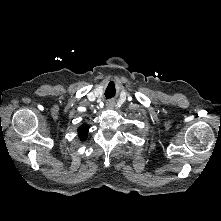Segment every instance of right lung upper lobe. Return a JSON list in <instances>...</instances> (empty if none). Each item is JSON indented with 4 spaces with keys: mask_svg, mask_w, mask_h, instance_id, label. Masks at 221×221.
Instances as JSON below:
<instances>
[{
    "mask_svg": "<svg viewBox=\"0 0 221 221\" xmlns=\"http://www.w3.org/2000/svg\"><path fill=\"white\" fill-rule=\"evenodd\" d=\"M78 134L81 140H84L88 134V127L87 125H82L78 129Z\"/></svg>",
    "mask_w": 221,
    "mask_h": 221,
    "instance_id": "obj_1",
    "label": "right lung upper lobe"
}]
</instances>
